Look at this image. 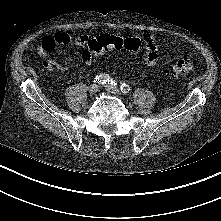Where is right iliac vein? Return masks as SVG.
<instances>
[{
	"label": "right iliac vein",
	"mask_w": 221,
	"mask_h": 221,
	"mask_svg": "<svg viewBox=\"0 0 221 221\" xmlns=\"http://www.w3.org/2000/svg\"><path fill=\"white\" fill-rule=\"evenodd\" d=\"M98 90H99V85H97V84H92L88 88V92L90 94H95L96 92H98Z\"/></svg>",
	"instance_id": "obj_1"
}]
</instances>
